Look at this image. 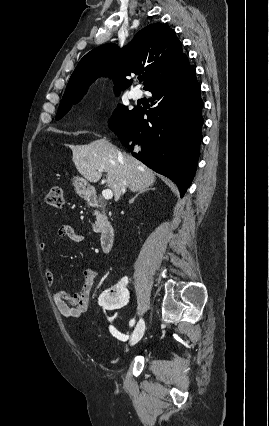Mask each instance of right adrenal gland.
<instances>
[{
  "mask_svg": "<svg viewBox=\"0 0 269 426\" xmlns=\"http://www.w3.org/2000/svg\"><path fill=\"white\" fill-rule=\"evenodd\" d=\"M155 188H147V189H143V190H140L130 201H129V203L130 204H132L133 202H134V200L140 195V194H142V193H144V192H146V191H148V190H154Z\"/></svg>",
  "mask_w": 269,
  "mask_h": 426,
  "instance_id": "right-adrenal-gland-1",
  "label": "right adrenal gland"
}]
</instances>
